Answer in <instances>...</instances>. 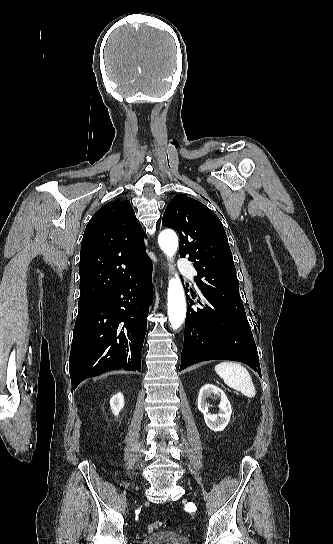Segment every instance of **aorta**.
<instances>
[{"instance_id": "obj_1", "label": "aorta", "mask_w": 333, "mask_h": 544, "mask_svg": "<svg viewBox=\"0 0 333 544\" xmlns=\"http://www.w3.org/2000/svg\"><path fill=\"white\" fill-rule=\"evenodd\" d=\"M158 242L163 252L171 259L178 248L176 233L172 230H164L159 234ZM168 316L173 330L178 329L183 324L186 316L184 290L181 280L177 275L169 280Z\"/></svg>"}]
</instances>
